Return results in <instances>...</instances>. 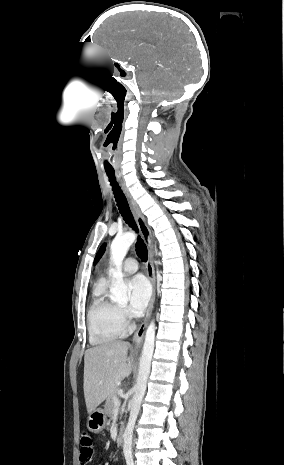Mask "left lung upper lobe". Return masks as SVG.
I'll use <instances>...</instances> for the list:
<instances>
[{
	"label": "left lung upper lobe",
	"mask_w": 284,
	"mask_h": 465,
	"mask_svg": "<svg viewBox=\"0 0 284 465\" xmlns=\"http://www.w3.org/2000/svg\"><path fill=\"white\" fill-rule=\"evenodd\" d=\"M105 247H106V244H103V245L100 247V249H99V251H98V253H97L96 257H95L94 263H96V262L101 258V256L103 255V253H104V251H105Z\"/></svg>",
	"instance_id": "obj_1"
}]
</instances>
